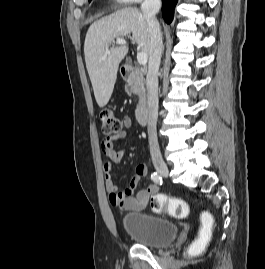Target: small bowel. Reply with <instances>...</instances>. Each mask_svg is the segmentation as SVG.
I'll return each instance as SVG.
<instances>
[{
	"label": "small bowel",
	"instance_id": "c3829d8e",
	"mask_svg": "<svg viewBox=\"0 0 265 269\" xmlns=\"http://www.w3.org/2000/svg\"><path fill=\"white\" fill-rule=\"evenodd\" d=\"M122 124L125 129H128L132 126V119L129 116H125L122 119ZM125 136L126 131H122L118 136L105 138L102 142V151L107 159L103 164L105 187L109 194L110 205L124 211L141 212L147 207L150 198L159 192L160 187L159 184L153 183L147 188L141 189L135 193L140 179L145 177L148 173L146 164L139 163L135 167V173L129 185L122 191L118 190L112 176V164L119 163L125 154V149H115V143Z\"/></svg>",
	"mask_w": 265,
	"mask_h": 269
}]
</instances>
